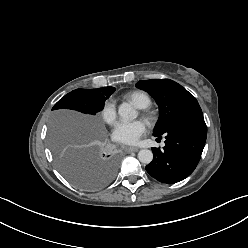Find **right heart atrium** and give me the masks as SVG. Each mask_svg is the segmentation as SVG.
Returning <instances> with one entry per match:
<instances>
[{
	"instance_id": "right-heart-atrium-1",
	"label": "right heart atrium",
	"mask_w": 248,
	"mask_h": 248,
	"mask_svg": "<svg viewBox=\"0 0 248 248\" xmlns=\"http://www.w3.org/2000/svg\"><path fill=\"white\" fill-rule=\"evenodd\" d=\"M100 115L105 123L109 125L114 124L117 119L115 102L113 100H106L101 107Z\"/></svg>"
}]
</instances>
